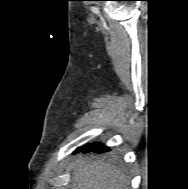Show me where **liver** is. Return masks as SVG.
I'll return each mask as SVG.
<instances>
[{
  "mask_svg": "<svg viewBox=\"0 0 188 189\" xmlns=\"http://www.w3.org/2000/svg\"><path fill=\"white\" fill-rule=\"evenodd\" d=\"M129 178L103 161L79 159L73 164L71 189H129Z\"/></svg>",
  "mask_w": 188,
  "mask_h": 189,
  "instance_id": "6515ba94",
  "label": "liver"
}]
</instances>
